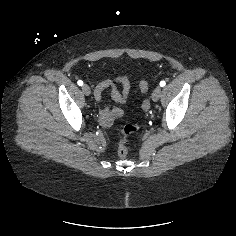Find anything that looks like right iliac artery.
I'll return each instance as SVG.
<instances>
[{"mask_svg": "<svg viewBox=\"0 0 236 236\" xmlns=\"http://www.w3.org/2000/svg\"><path fill=\"white\" fill-rule=\"evenodd\" d=\"M77 84H78L79 86H82V85H83V81H82V80H79V81L77 82Z\"/></svg>", "mask_w": 236, "mask_h": 236, "instance_id": "obj_1", "label": "right iliac artery"}]
</instances>
